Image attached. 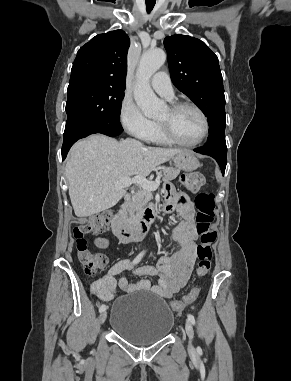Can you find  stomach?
<instances>
[{
	"label": "stomach",
	"mask_w": 291,
	"mask_h": 381,
	"mask_svg": "<svg viewBox=\"0 0 291 381\" xmlns=\"http://www.w3.org/2000/svg\"><path fill=\"white\" fill-rule=\"evenodd\" d=\"M173 161L178 170H184L186 172H192L199 166L198 159L188 151L176 154Z\"/></svg>",
	"instance_id": "0dacf381"
}]
</instances>
